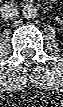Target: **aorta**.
I'll list each match as a JSON object with an SVG mask.
<instances>
[{"instance_id":"aorta-1","label":"aorta","mask_w":63,"mask_h":107,"mask_svg":"<svg viewBox=\"0 0 63 107\" xmlns=\"http://www.w3.org/2000/svg\"><path fill=\"white\" fill-rule=\"evenodd\" d=\"M22 14L26 19H34L38 15V9L34 4H27L23 7Z\"/></svg>"}]
</instances>
